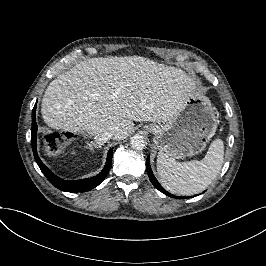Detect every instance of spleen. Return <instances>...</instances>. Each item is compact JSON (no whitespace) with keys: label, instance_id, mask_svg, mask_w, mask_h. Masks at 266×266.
Wrapping results in <instances>:
<instances>
[{"label":"spleen","instance_id":"spleen-1","mask_svg":"<svg viewBox=\"0 0 266 266\" xmlns=\"http://www.w3.org/2000/svg\"><path fill=\"white\" fill-rule=\"evenodd\" d=\"M224 158V144L214 139L201 160L176 161L159 152L157 171L162 186L173 194L193 195L203 191L217 176Z\"/></svg>","mask_w":266,"mask_h":266}]
</instances>
